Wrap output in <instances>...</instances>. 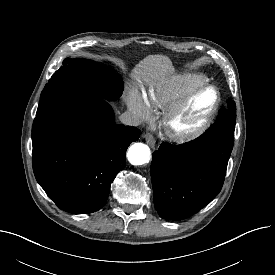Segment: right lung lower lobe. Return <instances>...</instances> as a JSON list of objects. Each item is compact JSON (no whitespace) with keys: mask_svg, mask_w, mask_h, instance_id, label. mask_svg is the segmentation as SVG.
<instances>
[{"mask_svg":"<svg viewBox=\"0 0 275 275\" xmlns=\"http://www.w3.org/2000/svg\"><path fill=\"white\" fill-rule=\"evenodd\" d=\"M101 98L67 95L36 115L32 127L33 171L62 210L88 214L106 202L124 168L126 150L141 131L115 125Z\"/></svg>","mask_w":275,"mask_h":275,"instance_id":"98d812e1","label":"right lung lower lobe"}]
</instances>
